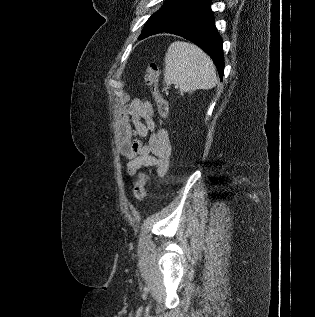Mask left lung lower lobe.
<instances>
[{"instance_id":"obj_1","label":"left lung lower lobe","mask_w":315,"mask_h":317,"mask_svg":"<svg viewBox=\"0 0 315 317\" xmlns=\"http://www.w3.org/2000/svg\"><path fill=\"white\" fill-rule=\"evenodd\" d=\"M210 3L211 0H200L165 32L179 35L198 45L212 58L222 79L225 65L222 39L215 27Z\"/></svg>"}]
</instances>
